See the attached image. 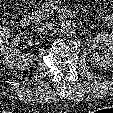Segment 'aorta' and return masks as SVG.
<instances>
[{"mask_svg":"<svg viewBox=\"0 0 113 113\" xmlns=\"http://www.w3.org/2000/svg\"><path fill=\"white\" fill-rule=\"evenodd\" d=\"M61 33L65 36H71L73 35L76 30L77 26L76 23L72 20H66L61 24Z\"/></svg>","mask_w":113,"mask_h":113,"instance_id":"1","label":"aorta"}]
</instances>
